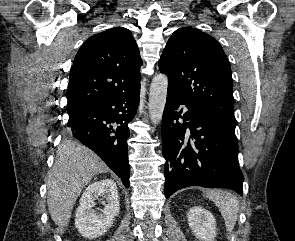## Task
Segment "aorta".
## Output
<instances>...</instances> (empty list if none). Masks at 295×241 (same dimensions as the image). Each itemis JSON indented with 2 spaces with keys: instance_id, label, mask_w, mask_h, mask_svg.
Returning <instances> with one entry per match:
<instances>
[{
  "instance_id": "762f6f07",
  "label": "aorta",
  "mask_w": 295,
  "mask_h": 241,
  "mask_svg": "<svg viewBox=\"0 0 295 241\" xmlns=\"http://www.w3.org/2000/svg\"><path fill=\"white\" fill-rule=\"evenodd\" d=\"M168 77L157 74L152 80L149 92V116L151 122L157 125L161 122L167 97Z\"/></svg>"
}]
</instances>
